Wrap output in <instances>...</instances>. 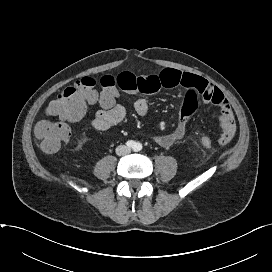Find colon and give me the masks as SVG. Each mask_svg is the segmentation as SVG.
I'll use <instances>...</instances> for the list:
<instances>
[{"label": "colon", "mask_w": 272, "mask_h": 272, "mask_svg": "<svg viewBox=\"0 0 272 272\" xmlns=\"http://www.w3.org/2000/svg\"><path fill=\"white\" fill-rule=\"evenodd\" d=\"M97 82L91 77H82L71 86L65 88L51 101L46 109L50 116L58 117L62 121H40L35 127V135L41 141V148L47 153L59 150L61 144L70 136V128L66 121L80 119L86 112L88 105L99 103L103 108H110L116 104L118 86L116 78L110 75L103 76ZM200 143L205 148H210L213 141L208 136H203Z\"/></svg>", "instance_id": "colon-1"}]
</instances>
